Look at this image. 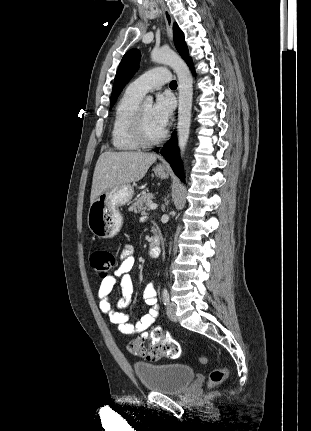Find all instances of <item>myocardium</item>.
Here are the masks:
<instances>
[{"label": "myocardium", "mask_w": 311, "mask_h": 431, "mask_svg": "<svg viewBox=\"0 0 311 431\" xmlns=\"http://www.w3.org/2000/svg\"><path fill=\"white\" fill-rule=\"evenodd\" d=\"M131 130L134 140L140 146L149 147L157 145L162 142L166 137V131H163L161 136L157 139H150L147 137L142 106H139L134 113Z\"/></svg>", "instance_id": "myocardium-1"}]
</instances>
